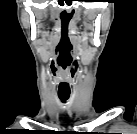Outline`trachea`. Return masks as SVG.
Segmentation results:
<instances>
[{
	"label": "trachea",
	"instance_id": "trachea-1",
	"mask_svg": "<svg viewBox=\"0 0 137 134\" xmlns=\"http://www.w3.org/2000/svg\"><path fill=\"white\" fill-rule=\"evenodd\" d=\"M59 98L63 103H65L68 100L69 95H60L59 94Z\"/></svg>",
	"mask_w": 137,
	"mask_h": 134
}]
</instances>
